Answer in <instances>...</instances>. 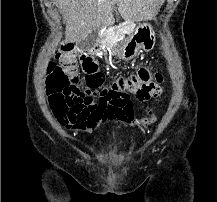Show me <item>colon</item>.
<instances>
[{
	"label": "colon",
	"mask_w": 217,
	"mask_h": 202,
	"mask_svg": "<svg viewBox=\"0 0 217 202\" xmlns=\"http://www.w3.org/2000/svg\"><path fill=\"white\" fill-rule=\"evenodd\" d=\"M77 55H82L78 47H61L51 56L52 60H58L46 76L50 80L47 83L50 91L46 95L50 96L48 102L55 111L52 117H60L66 128L112 124L122 130L131 125L146 126L152 122V117L139 120L133 117L130 95L133 93L140 103L157 99L163 93L160 76H152L146 69H135L130 77L121 78L100 91H91L84 89L79 82H73L74 78L82 77L78 73Z\"/></svg>",
	"instance_id": "1"
}]
</instances>
